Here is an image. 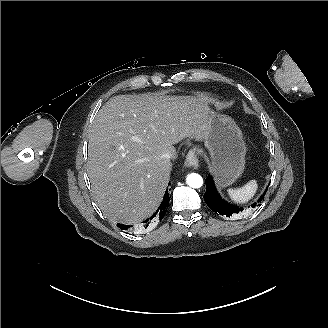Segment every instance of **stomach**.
Segmentation results:
<instances>
[{
    "mask_svg": "<svg viewBox=\"0 0 328 328\" xmlns=\"http://www.w3.org/2000/svg\"><path fill=\"white\" fill-rule=\"evenodd\" d=\"M204 145L209 150L210 169L219 186L232 184L245 165L246 145L240 128L230 117L209 109Z\"/></svg>",
    "mask_w": 328,
    "mask_h": 328,
    "instance_id": "1",
    "label": "stomach"
}]
</instances>
